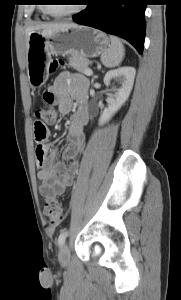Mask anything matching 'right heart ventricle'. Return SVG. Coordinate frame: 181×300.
<instances>
[{"mask_svg":"<svg viewBox=\"0 0 181 300\" xmlns=\"http://www.w3.org/2000/svg\"><path fill=\"white\" fill-rule=\"evenodd\" d=\"M40 11H41V13H42V16H43L44 18H47V14H46V12L44 11V8H41Z\"/></svg>","mask_w":181,"mask_h":300,"instance_id":"1","label":"right heart ventricle"}]
</instances>
